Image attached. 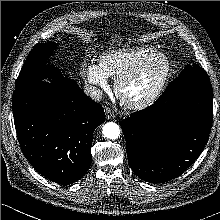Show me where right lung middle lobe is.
<instances>
[{
  "label": "right lung middle lobe",
  "mask_w": 220,
  "mask_h": 220,
  "mask_svg": "<svg viewBox=\"0 0 220 220\" xmlns=\"http://www.w3.org/2000/svg\"><path fill=\"white\" fill-rule=\"evenodd\" d=\"M56 47L54 42L39 43L31 50L16 80V89L32 86L46 77L50 80L62 77L59 69L47 64Z\"/></svg>",
  "instance_id": "1"
}]
</instances>
